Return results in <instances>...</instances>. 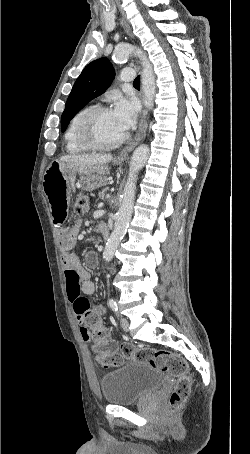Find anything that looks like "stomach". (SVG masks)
Instances as JSON below:
<instances>
[{
	"label": "stomach",
	"mask_w": 250,
	"mask_h": 454,
	"mask_svg": "<svg viewBox=\"0 0 250 454\" xmlns=\"http://www.w3.org/2000/svg\"><path fill=\"white\" fill-rule=\"evenodd\" d=\"M122 162L121 159L114 160L115 164ZM77 173L86 189H95L103 184V175L108 173V169L105 166H74L56 161L49 165L44 176H76Z\"/></svg>",
	"instance_id": "stomach-1"
}]
</instances>
